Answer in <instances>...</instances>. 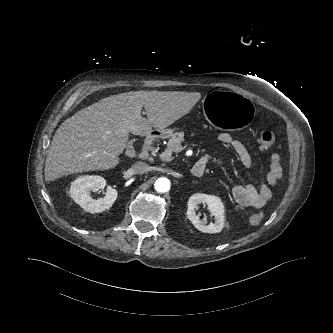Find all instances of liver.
<instances>
[{"mask_svg": "<svg viewBox=\"0 0 333 333\" xmlns=\"http://www.w3.org/2000/svg\"><path fill=\"white\" fill-rule=\"evenodd\" d=\"M200 98L198 92L135 91L99 100L57 129L45 162V179L116 167L129 133L145 136L152 127L165 129L189 113ZM143 107L147 119L141 115Z\"/></svg>", "mask_w": 333, "mask_h": 333, "instance_id": "6515ba94", "label": "liver"}]
</instances>
